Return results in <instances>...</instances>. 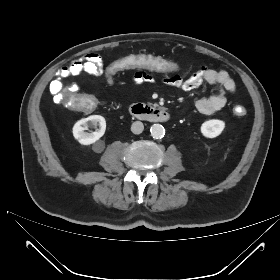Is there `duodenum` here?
<instances>
[{
  "instance_id": "obj_1",
  "label": "duodenum",
  "mask_w": 280,
  "mask_h": 280,
  "mask_svg": "<svg viewBox=\"0 0 280 280\" xmlns=\"http://www.w3.org/2000/svg\"><path fill=\"white\" fill-rule=\"evenodd\" d=\"M129 111L133 117L155 123L167 122L170 119V113L166 109L143 103L131 105Z\"/></svg>"
}]
</instances>
